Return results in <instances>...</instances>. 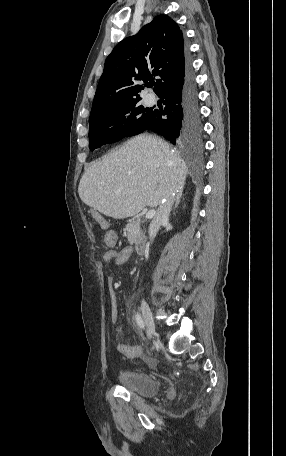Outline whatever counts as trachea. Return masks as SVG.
<instances>
[{"mask_svg": "<svg viewBox=\"0 0 286 456\" xmlns=\"http://www.w3.org/2000/svg\"><path fill=\"white\" fill-rule=\"evenodd\" d=\"M153 85H155V84L153 83V84H151L150 86L152 87Z\"/></svg>", "mask_w": 286, "mask_h": 456, "instance_id": "1", "label": "trachea"}]
</instances>
